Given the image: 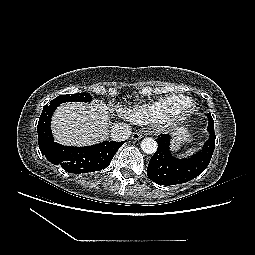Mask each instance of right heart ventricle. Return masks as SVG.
<instances>
[{"mask_svg": "<svg viewBox=\"0 0 255 255\" xmlns=\"http://www.w3.org/2000/svg\"><path fill=\"white\" fill-rule=\"evenodd\" d=\"M192 100L181 94L166 95L158 100L131 107L125 111V117L136 124H147L164 120L173 106L191 105Z\"/></svg>", "mask_w": 255, "mask_h": 255, "instance_id": "obj_1", "label": "right heart ventricle"}]
</instances>
